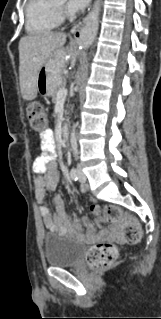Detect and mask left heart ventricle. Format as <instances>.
<instances>
[{
	"label": "left heart ventricle",
	"mask_w": 161,
	"mask_h": 319,
	"mask_svg": "<svg viewBox=\"0 0 161 319\" xmlns=\"http://www.w3.org/2000/svg\"><path fill=\"white\" fill-rule=\"evenodd\" d=\"M63 4H64V2H63V1L58 2V5H60V6H62Z\"/></svg>",
	"instance_id": "1"
}]
</instances>
